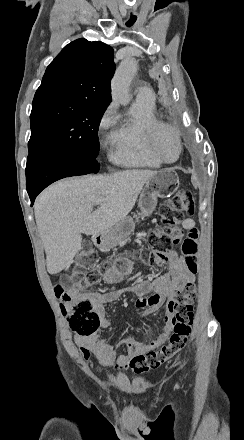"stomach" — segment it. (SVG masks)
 <instances>
[{"label": "stomach", "instance_id": "obj_1", "mask_svg": "<svg viewBox=\"0 0 244 440\" xmlns=\"http://www.w3.org/2000/svg\"><path fill=\"white\" fill-rule=\"evenodd\" d=\"M179 186V176L174 170H160L152 178H149L140 194L138 202L142 218L153 214L158 204V198H170L172 194L177 192ZM131 232H134V224L131 218H127V220H122V222L116 224L111 230L101 232L99 234V244H97L98 236H95L94 242L98 248H112V246H117L122 236L131 234Z\"/></svg>", "mask_w": 244, "mask_h": 440}]
</instances>
